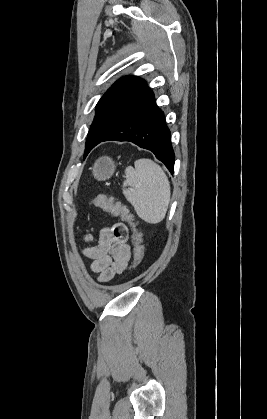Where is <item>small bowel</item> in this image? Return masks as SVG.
I'll use <instances>...</instances> for the list:
<instances>
[{
  "instance_id": "c3829d8e",
  "label": "small bowel",
  "mask_w": 267,
  "mask_h": 419,
  "mask_svg": "<svg viewBox=\"0 0 267 419\" xmlns=\"http://www.w3.org/2000/svg\"><path fill=\"white\" fill-rule=\"evenodd\" d=\"M85 239L92 241L89 235ZM127 240L128 228L117 223L99 232L96 245L83 249L84 256L91 260L90 270L97 274L98 282H108L127 268L131 256Z\"/></svg>"
}]
</instances>
